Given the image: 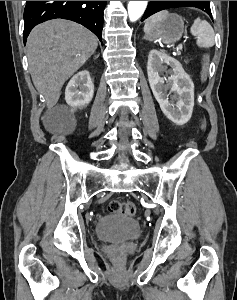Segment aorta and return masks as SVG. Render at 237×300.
Here are the masks:
<instances>
[{"label":"aorta","mask_w":237,"mask_h":300,"mask_svg":"<svg viewBox=\"0 0 237 300\" xmlns=\"http://www.w3.org/2000/svg\"><path fill=\"white\" fill-rule=\"evenodd\" d=\"M148 1H129L128 3V15L130 21L134 23V21H138L140 17H142Z\"/></svg>","instance_id":"762f6f07"}]
</instances>
